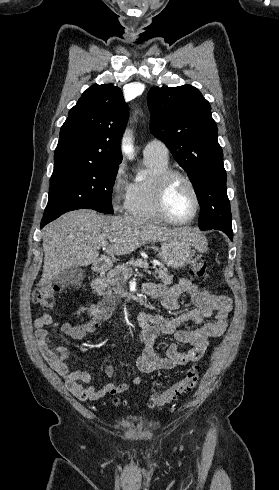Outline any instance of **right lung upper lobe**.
<instances>
[{"instance_id": "obj_1", "label": "right lung upper lobe", "mask_w": 279, "mask_h": 490, "mask_svg": "<svg viewBox=\"0 0 279 490\" xmlns=\"http://www.w3.org/2000/svg\"><path fill=\"white\" fill-rule=\"evenodd\" d=\"M127 119L120 88L92 85L61 127L54 164L122 161L119 141Z\"/></svg>"}]
</instances>
